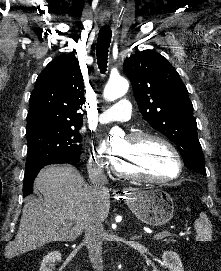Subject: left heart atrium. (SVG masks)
Here are the masks:
<instances>
[{"instance_id": "1", "label": "left heart atrium", "mask_w": 221, "mask_h": 271, "mask_svg": "<svg viewBox=\"0 0 221 271\" xmlns=\"http://www.w3.org/2000/svg\"><path fill=\"white\" fill-rule=\"evenodd\" d=\"M102 149L111 153V157H135V152H127V148H115L114 142H107V145H103Z\"/></svg>"}]
</instances>
